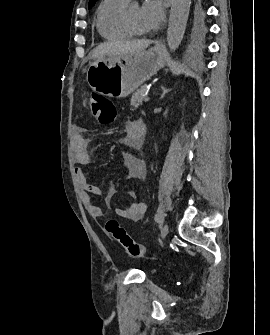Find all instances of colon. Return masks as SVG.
I'll return each mask as SVG.
<instances>
[{
    "label": "colon",
    "instance_id": "5ec220e1",
    "mask_svg": "<svg viewBox=\"0 0 270 335\" xmlns=\"http://www.w3.org/2000/svg\"><path fill=\"white\" fill-rule=\"evenodd\" d=\"M91 112L93 117L99 120L102 125H110L117 115L113 102L97 92L91 93ZM106 228L128 255L134 258H142L146 255L145 248L133 241L117 219H107Z\"/></svg>",
    "mask_w": 270,
    "mask_h": 335
}]
</instances>
